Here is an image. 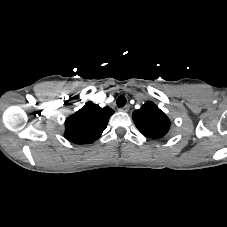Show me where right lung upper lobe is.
<instances>
[{"mask_svg":"<svg viewBox=\"0 0 227 227\" xmlns=\"http://www.w3.org/2000/svg\"><path fill=\"white\" fill-rule=\"evenodd\" d=\"M114 111L87 102L80 110L65 121L64 136L75 144H88L97 140L107 127L108 120Z\"/></svg>","mask_w":227,"mask_h":227,"instance_id":"cb5924a9","label":"right lung upper lobe"}]
</instances>
